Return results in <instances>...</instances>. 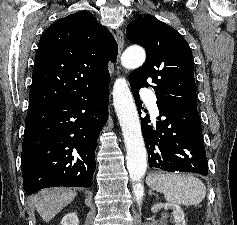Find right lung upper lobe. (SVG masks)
<instances>
[{
	"label": "right lung upper lobe",
	"instance_id": "1",
	"mask_svg": "<svg viewBox=\"0 0 237 225\" xmlns=\"http://www.w3.org/2000/svg\"><path fill=\"white\" fill-rule=\"evenodd\" d=\"M117 53L113 35L87 11L54 22L39 41L29 107L63 101L110 83L107 65Z\"/></svg>",
	"mask_w": 237,
	"mask_h": 225
}]
</instances>
